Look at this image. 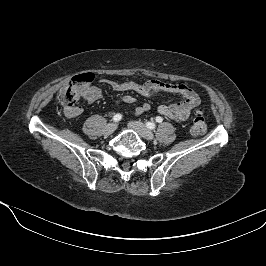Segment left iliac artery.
<instances>
[{"mask_svg": "<svg viewBox=\"0 0 266 266\" xmlns=\"http://www.w3.org/2000/svg\"><path fill=\"white\" fill-rule=\"evenodd\" d=\"M162 120H163V119H162L160 116L156 117V122L161 123ZM146 126H147V128H149V129H155V127H156V125H155L153 122H147V123H146Z\"/></svg>", "mask_w": 266, "mask_h": 266, "instance_id": "obj_1", "label": "left iliac artery"}]
</instances>
